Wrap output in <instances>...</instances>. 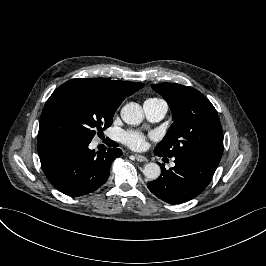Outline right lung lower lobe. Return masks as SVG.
<instances>
[{
    "mask_svg": "<svg viewBox=\"0 0 266 266\" xmlns=\"http://www.w3.org/2000/svg\"><path fill=\"white\" fill-rule=\"evenodd\" d=\"M90 142L60 140L40 155L43 171L50 183L69 196L95 191L108 179L112 161L122 155L116 143L107 152L95 153Z\"/></svg>",
    "mask_w": 266,
    "mask_h": 266,
    "instance_id": "1",
    "label": "right lung lower lobe"
}]
</instances>
